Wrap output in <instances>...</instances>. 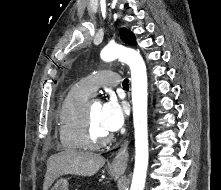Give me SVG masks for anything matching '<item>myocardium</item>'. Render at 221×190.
Instances as JSON below:
<instances>
[{
	"label": "myocardium",
	"mask_w": 221,
	"mask_h": 190,
	"mask_svg": "<svg viewBox=\"0 0 221 190\" xmlns=\"http://www.w3.org/2000/svg\"><path fill=\"white\" fill-rule=\"evenodd\" d=\"M83 137L87 147L100 148L112 140V136L107 134L105 136H97L93 130V124L91 120L89 105H85L83 114Z\"/></svg>",
	"instance_id": "myocardium-1"
}]
</instances>
